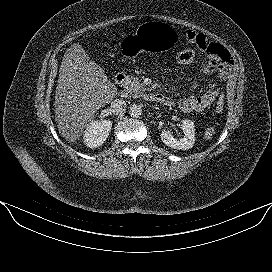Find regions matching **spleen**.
<instances>
[{"label": "spleen", "mask_w": 272, "mask_h": 272, "mask_svg": "<svg viewBox=\"0 0 272 272\" xmlns=\"http://www.w3.org/2000/svg\"><path fill=\"white\" fill-rule=\"evenodd\" d=\"M214 127H208L207 129H206V131L204 132V139L205 140H211V138H212V136H213V134H214Z\"/></svg>", "instance_id": "obj_1"}]
</instances>
